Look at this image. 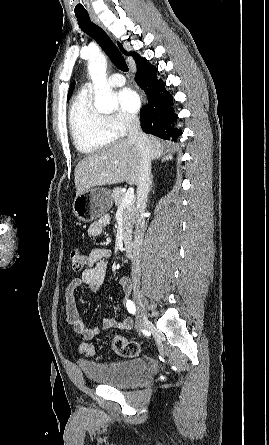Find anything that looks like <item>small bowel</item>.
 <instances>
[{
    "instance_id": "1",
    "label": "small bowel",
    "mask_w": 269,
    "mask_h": 445,
    "mask_svg": "<svg viewBox=\"0 0 269 445\" xmlns=\"http://www.w3.org/2000/svg\"><path fill=\"white\" fill-rule=\"evenodd\" d=\"M107 222V217H102L92 223L88 229L89 234L94 237L100 236ZM111 255L112 253L109 249L95 248L91 250L87 256L86 269L80 277L71 280L65 289L66 321L85 340H90L109 329L127 330L133 325L132 319L129 317H125L122 321H117L113 317H106L100 326L88 328L83 322L76 305L75 294L79 288H87L92 292L99 290L104 282L108 260L111 258ZM119 285L126 295L130 294L132 285L127 277H121Z\"/></svg>"
}]
</instances>
